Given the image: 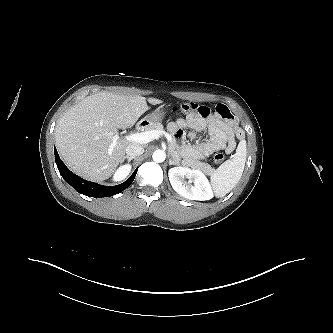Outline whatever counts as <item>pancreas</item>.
Here are the masks:
<instances>
[{"instance_id":"1","label":"pancreas","mask_w":333,"mask_h":333,"mask_svg":"<svg viewBox=\"0 0 333 333\" xmlns=\"http://www.w3.org/2000/svg\"><path fill=\"white\" fill-rule=\"evenodd\" d=\"M151 130H159V131L164 132L163 125L160 122H154L145 127V131H151ZM169 147H170L173 155L176 156V150H178L177 144L173 141L172 143L169 144ZM183 165L191 167L193 169L202 170L205 173H210L213 171V168L211 167V165H209L208 163H205V162L195 160V159H186L183 161Z\"/></svg>"}]
</instances>
